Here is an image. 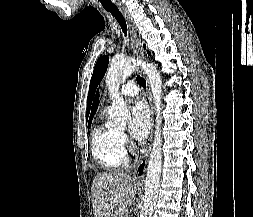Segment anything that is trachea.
<instances>
[{
	"label": "trachea",
	"mask_w": 253,
	"mask_h": 217,
	"mask_svg": "<svg viewBox=\"0 0 253 217\" xmlns=\"http://www.w3.org/2000/svg\"><path fill=\"white\" fill-rule=\"evenodd\" d=\"M105 9H106V11L110 12L113 17H115V19L119 23L123 33L125 34V36H127L126 21H125L123 15L121 14V12L119 11V9L118 8H105ZM137 80L142 87H144V88L146 87V81L144 80V78L137 76Z\"/></svg>",
	"instance_id": "1"
}]
</instances>
